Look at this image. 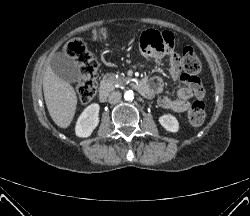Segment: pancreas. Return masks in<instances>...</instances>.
Here are the masks:
<instances>
[{
  "instance_id": "1",
  "label": "pancreas",
  "mask_w": 250,
  "mask_h": 216,
  "mask_svg": "<svg viewBox=\"0 0 250 216\" xmlns=\"http://www.w3.org/2000/svg\"><path fill=\"white\" fill-rule=\"evenodd\" d=\"M130 80V78L125 76H118L114 74L105 75L101 83L109 90H113L118 86L124 85Z\"/></svg>"
}]
</instances>
